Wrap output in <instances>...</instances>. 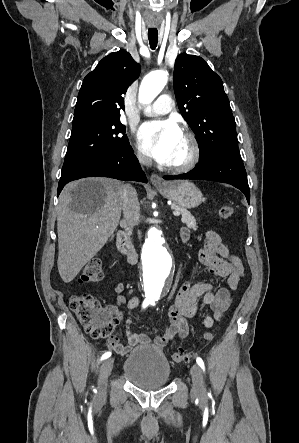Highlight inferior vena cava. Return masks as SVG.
I'll use <instances>...</instances> for the list:
<instances>
[{
    "instance_id": "inferior-vena-cava-1",
    "label": "inferior vena cava",
    "mask_w": 299,
    "mask_h": 443,
    "mask_svg": "<svg viewBox=\"0 0 299 443\" xmlns=\"http://www.w3.org/2000/svg\"><path fill=\"white\" fill-rule=\"evenodd\" d=\"M138 159L143 166H149L152 164V159L147 156L138 155ZM122 201L124 218L127 220L130 227H134L139 222L140 204L136 190L129 184L124 185L122 189Z\"/></svg>"
}]
</instances>
